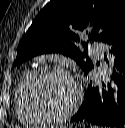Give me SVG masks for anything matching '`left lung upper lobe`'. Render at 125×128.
Masks as SVG:
<instances>
[{
	"instance_id": "1",
	"label": "left lung upper lobe",
	"mask_w": 125,
	"mask_h": 128,
	"mask_svg": "<svg viewBox=\"0 0 125 128\" xmlns=\"http://www.w3.org/2000/svg\"><path fill=\"white\" fill-rule=\"evenodd\" d=\"M125 25V0H51L35 17L17 48L15 65L44 53H62L73 58L84 73L94 64L88 57L89 43H108ZM86 32V49L77 46Z\"/></svg>"
}]
</instances>
